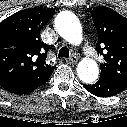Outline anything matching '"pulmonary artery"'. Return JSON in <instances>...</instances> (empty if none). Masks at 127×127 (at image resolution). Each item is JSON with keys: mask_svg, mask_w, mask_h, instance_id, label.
Instances as JSON below:
<instances>
[{"mask_svg": "<svg viewBox=\"0 0 127 127\" xmlns=\"http://www.w3.org/2000/svg\"><path fill=\"white\" fill-rule=\"evenodd\" d=\"M83 50L85 55L89 58H93L95 56V52L87 44L84 45Z\"/></svg>", "mask_w": 127, "mask_h": 127, "instance_id": "obj_1", "label": "pulmonary artery"}]
</instances>
